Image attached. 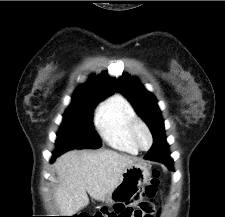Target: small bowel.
I'll return each mask as SVG.
<instances>
[{"label":"small bowel","mask_w":225,"mask_h":217,"mask_svg":"<svg viewBox=\"0 0 225 217\" xmlns=\"http://www.w3.org/2000/svg\"><path fill=\"white\" fill-rule=\"evenodd\" d=\"M138 190H130L120 196L115 203L117 211L114 217H153L154 206L143 198H137Z\"/></svg>","instance_id":"1"}]
</instances>
